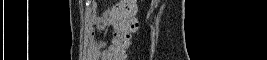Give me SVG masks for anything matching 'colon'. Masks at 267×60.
I'll return each instance as SVG.
<instances>
[{"label": "colon", "instance_id": "obj_1", "mask_svg": "<svg viewBox=\"0 0 267 60\" xmlns=\"http://www.w3.org/2000/svg\"><path fill=\"white\" fill-rule=\"evenodd\" d=\"M137 11L138 6L134 0H122L114 8L109 19L110 24L114 26L113 39L111 45L103 53L105 59H129L132 35L138 28Z\"/></svg>", "mask_w": 267, "mask_h": 60}]
</instances>
